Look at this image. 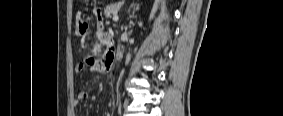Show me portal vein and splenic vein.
<instances>
[{"label": "portal vein and splenic vein", "instance_id": "obj_1", "mask_svg": "<svg viewBox=\"0 0 283 116\" xmlns=\"http://www.w3.org/2000/svg\"><path fill=\"white\" fill-rule=\"evenodd\" d=\"M112 20H113L114 22H117V21L119 20V17H118V15H117V13H115V14L113 15Z\"/></svg>", "mask_w": 283, "mask_h": 116}]
</instances>
